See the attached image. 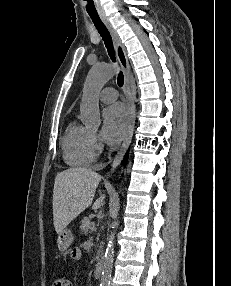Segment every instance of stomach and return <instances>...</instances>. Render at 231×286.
<instances>
[{"label":"stomach","instance_id":"stomach-1","mask_svg":"<svg viewBox=\"0 0 231 286\" xmlns=\"http://www.w3.org/2000/svg\"><path fill=\"white\" fill-rule=\"evenodd\" d=\"M73 242V234L69 229H64L58 234L57 246L60 251H66Z\"/></svg>","mask_w":231,"mask_h":286}]
</instances>
